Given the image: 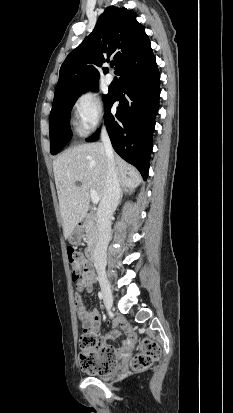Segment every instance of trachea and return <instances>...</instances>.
I'll return each mask as SVG.
<instances>
[{
    "label": "trachea",
    "mask_w": 233,
    "mask_h": 413,
    "mask_svg": "<svg viewBox=\"0 0 233 413\" xmlns=\"http://www.w3.org/2000/svg\"><path fill=\"white\" fill-rule=\"evenodd\" d=\"M114 66V63H111V67H113Z\"/></svg>",
    "instance_id": "trachea-1"
}]
</instances>
